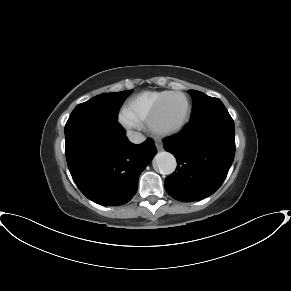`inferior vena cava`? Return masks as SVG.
Instances as JSON below:
<instances>
[{
    "label": "inferior vena cava",
    "mask_w": 291,
    "mask_h": 291,
    "mask_svg": "<svg viewBox=\"0 0 291 291\" xmlns=\"http://www.w3.org/2000/svg\"><path fill=\"white\" fill-rule=\"evenodd\" d=\"M127 137L134 144H140L145 140V137L141 133L135 131H129Z\"/></svg>",
    "instance_id": "obj_1"
}]
</instances>
